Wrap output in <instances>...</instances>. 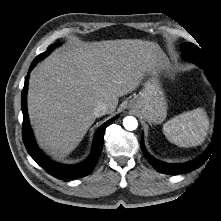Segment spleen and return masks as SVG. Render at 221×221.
<instances>
[{"label": "spleen", "mask_w": 221, "mask_h": 221, "mask_svg": "<svg viewBox=\"0 0 221 221\" xmlns=\"http://www.w3.org/2000/svg\"><path fill=\"white\" fill-rule=\"evenodd\" d=\"M209 129V119L203 108L179 114L163 125L168 141L179 147H192L204 142Z\"/></svg>", "instance_id": "obj_1"}]
</instances>
